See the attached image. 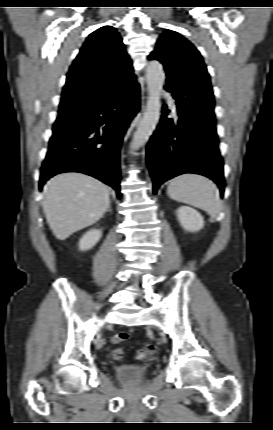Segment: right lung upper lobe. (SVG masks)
Instances as JSON below:
<instances>
[{
    "label": "right lung upper lobe",
    "instance_id": "obj_1",
    "mask_svg": "<svg viewBox=\"0 0 273 430\" xmlns=\"http://www.w3.org/2000/svg\"><path fill=\"white\" fill-rule=\"evenodd\" d=\"M131 59L112 26L89 35L67 74L60 107L86 108L102 93L137 84Z\"/></svg>",
    "mask_w": 273,
    "mask_h": 430
}]
</instances>
